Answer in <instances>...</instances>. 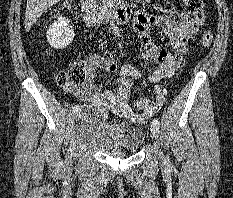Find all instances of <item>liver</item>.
<instances>
[{
    "mask_svg": "<svg viewBox=\"0 0 233 198\" xmlns=\"http://www.w3.org/2000/svg\"><path fill=\"white\" fill-rule=\"evenodd\" d=\"M60 0H27L25 11V29L27 32L40 16Z\"/></svg>",
    "mask_w": 233,
    "mask_h": 198,
    "instance_id": "obj_1",
    "label": "liver"
}]
</instances>
